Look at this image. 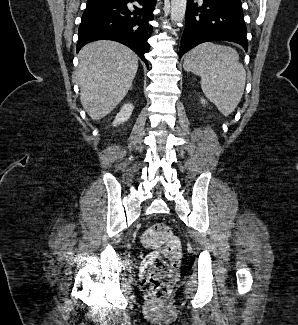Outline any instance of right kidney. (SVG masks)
Listing matches in <instances>:
<instances>
[{
    "mask_svg": "<svg viewBox=\"0 0 298 325\" xmlns=\"http://www.w3.org/2000/svg\"><path fill=\"white\" fill-rule=\"evenodd\" d=\"M133 108V104H129V102H127V104H123V106L120 108V112H117V116H115L112 122L113 126H118V124L126 122V120L130 118Z\"/></svg>",
    "mask_w": 298,
    "mask_h": 325,
    "instance_id": "right-kidney-1",
    "label": "right kidney"
}]
</instances>
